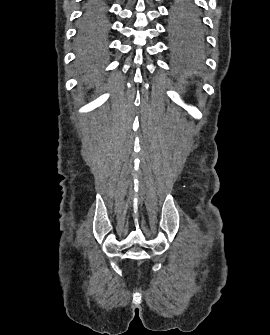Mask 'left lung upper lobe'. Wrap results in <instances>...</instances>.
Masks as SVG:
<instances>
[{
	"mask_svg": "<svg viewBox=\"0 0 270 335\" xmlns=\"http://www.w3.org/2000/svg\"><path fill=\"white\" fill-rule=\"evenodd\" d=\"M194 0H178L172 9V29L175 32H187L197 29L201 23L199 7Z\"/></svg>",
	"mask_w": 270,
	"mask_h": 335,
	"instance_id": "1",
	"label": "left lung upper lobe"
}]
</instances>
